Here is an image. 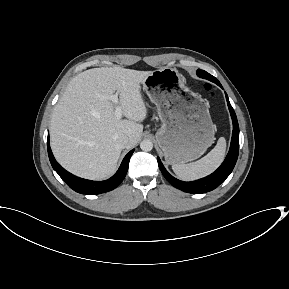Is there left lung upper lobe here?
Returning <instances> with one entry per match:
<instances>
[{
  "label": "left lung upper lobe",
  "mask_w": 289,
  "mask_h": 289,
  "mask_svg": "<svg viewBox=\"0 0 289 289\" xmlns=\"http://www.w3.org/2000/svg\"><path fill=\"white\" fill-rule=\"evenodd\" d=\"M197 75L201 78H204V79H207V80H210L211 82H214L216 83L217 85L220 84V82L212 75H210L209 73H207L206 71L204 70H200L198 69L197 70Z\"/></svg>",
  "instance_id": "5c2ea615"
}]
</instances>
